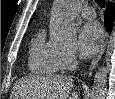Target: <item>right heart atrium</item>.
<instances>
[{
    "label": "right heart atrium",
    "instance_id": "right-heart-atrium-1",
    "mask_svg": "<svg viewBox=\"0 0 115 99\" xmlns=\"http://www.w3.org/2000/svg\"><path fill=\"white\" fill-rule=\"evenodd\" d=\"M61 63L63 69H72L77 63V57L74 52H62Z\"/></svg>",
    "mask_w": 115,
    "mask_h": 99
}]
</instances>
